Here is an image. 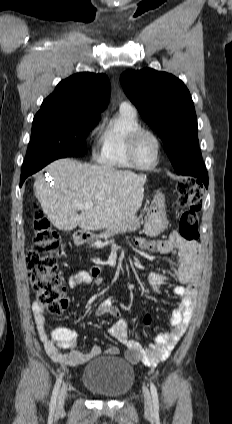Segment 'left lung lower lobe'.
<instances>
[{
	"label": "left lung lower lobe",
	"instance_id": "obj_1",
	"mask_svg": "<svg viewBox=\"0 0 232 424\" xmlns=\"http://www.w3.org/2000/svg\"><path fill=\"white\" fill-rule=\"evenodd\" d=\"M181 175H190L198 178L197 182L199 184H204L205 187H208V173L206 171L205 165L202 160V155L188 164L184 169L180 171Z\"/></svg>",
	"mask_w": 232,
	"mask_h": 424
}]
</instances>
